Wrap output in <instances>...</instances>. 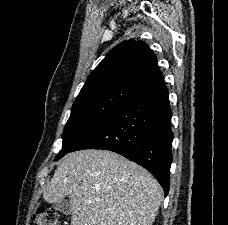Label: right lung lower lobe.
I'll return each instance as SVG.
<instances>
[{"label":"right lung lower lobe","instance_id":"obj_1","mask_svg":"<svg viewBox=\"0 0 228 225\" xmlns=\"http://www.w3.org/2000/svg\"><path fill=\"white\" fill-rule=\"evenodd\" d=\"M172 112L162 74L84 135L70 152L105 149L150 171L167 196L172 162Z\"/></svg>","mask_w":228,"mask_h":225}]
</instances>
